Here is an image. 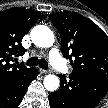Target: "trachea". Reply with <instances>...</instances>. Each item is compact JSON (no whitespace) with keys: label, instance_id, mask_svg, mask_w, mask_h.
Here are the masks:
<instances>
[{"label":"trachea","instance_id":"1","mask_svg":"<svg viewBox=\"0 0 108 108\" xmlns=\"http://www.w3.org/2000/svg\"><path fill=\"white\" fill-rule=\"evenodd\" d=\"M27 66H37L39 65L42 69L47 70L48 69V62L44 59H38L37 57H32L28 59L26 62Z\"/></svg>","mask_w":108,"mask_h":108}]
</instances>
